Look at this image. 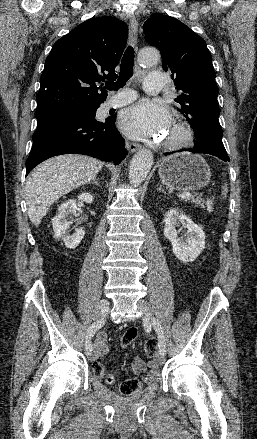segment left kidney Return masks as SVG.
Wrapping results in <instances>:
<instances>
[{
	"instance_id": "1",
	"label": "left kidney",
	"mask_w": 257,
	"mask_h": 439,
	"mask_svg": "<svg viewBox=\"0 0 257 439\" xmlns=\"http://www.w3.org/2000/svg\"><path fill=\"white\" fill-rule=\"evenodd\" d=\"M164 236L170 240L176 258L182 262H193L205 249V234L188 216L170 209L164 219ZM182 224L187 231L178 237L176 227Z\"/></svg>"
}]
</instances>
